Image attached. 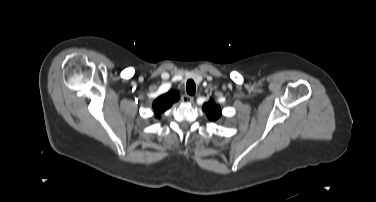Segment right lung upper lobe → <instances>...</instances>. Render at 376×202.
Listing matches in <instances>:
<instances>
[{"label":"right lung upper lobe","mask_w":376,"mask_h":202,"mask_svg":"<svg viewBox=\"0 0 376 202\" xmlns=\"http://www.w3.org/2000/svg\"><path fill=\"white\" fill-rule=\"evenodd\" d=\"M179 97V93L175 90H171L168 93L158 97L153 103L155 116L160 118V113H163L169 109L174 102L179 100Z\"/></svg>","instance_id":"cb5924a9"}]
</instances>
